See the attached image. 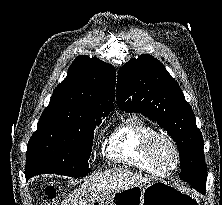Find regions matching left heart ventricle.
<instances>
[{"label": "left heart ventricle", "instance_id": "1", "mask_svg": "<svg viewBox=\"0 0 222 205\" xmlns=\"http://www.w3.org/2000/svg\"><path fill=\"white\" fill-rule=\"evenodd\" d=\"M156 154L165 166H173L175 162V152L173 147L164 141H158L155 146Z\"/></svg>", "mask_w": 222, "mask_h": 205}]
</instances>
